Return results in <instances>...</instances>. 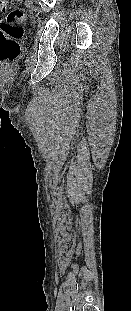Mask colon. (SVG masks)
Listing matches in <instances>:
<instances>
[{
  "instance_id": "obj_1",
  "label": "colon",
  "mask_w": 131,
  "mask_h": 311,
  "mask_svg": "<svg viewBox=\"0 0 131 311\" xmlns=\"http://www.w3.org/2000/svg\"><path fill=\"white\" fill-rule=\"evenodd\" d=\"M7 5L8 0H0V61H13L18 57V40L23 36L28 22L27 11L20 7L12 9L2 18Z\"/></svg>"
}]
</instances>
